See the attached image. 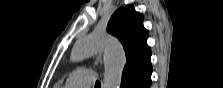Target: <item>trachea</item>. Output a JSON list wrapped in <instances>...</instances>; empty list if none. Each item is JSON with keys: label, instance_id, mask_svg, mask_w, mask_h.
<instances>
[{"label": "trachea", "instance_id": "1", "mask_svg": "<svg viewBox=\"0 0 223 88\" xmlns=\"http://www.w3.org/2000/svg\"><path fill=\"white\" fill-rule=\"evenodd\" d=\"M95 86H96V87H100V86H101L100 82L97 81L96 84H95Z\"/></svg>", "mask_w": 223, "mask_h": 88}]
</instances>
